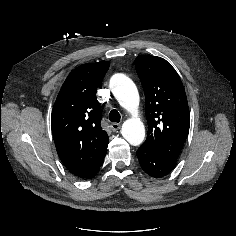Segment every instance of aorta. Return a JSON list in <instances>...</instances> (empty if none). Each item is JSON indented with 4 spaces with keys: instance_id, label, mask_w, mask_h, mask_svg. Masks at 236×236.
I'll list each match as a JSON object with an SVG mask.
<instances>
[{
    "instance_id": "762f6f07",
    "label": "aorta",
    "mask_w": 236,
    "mask_h": 236,
    "mask_svg": "<svg viewBox=\"0 0 236 236\" xmlns=\"http://www.w3.org/2000/svg\"><path fill=\"white\" fill-rule=\"evenodd\" d=\"M111 87L119 104L135 113L139 105V94L134 82L124 74H115L111 78ZM121 133L131 145L137 146L144 140L145 127L139 118L132 117L123 123Z\"/></svg>"
}]
</instances>
